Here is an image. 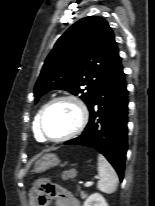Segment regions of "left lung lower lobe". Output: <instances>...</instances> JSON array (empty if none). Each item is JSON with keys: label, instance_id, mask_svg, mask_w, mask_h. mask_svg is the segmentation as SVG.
Listing matches in <instances>:
<instances>
[{"label": "left lung lower lobe", "instance_id": "1", "mask_svg": "<svg viewBox=\"0 0 155 206\" xmlns=\"http://www.w3.org/2000/svg\"><path fill=\"white\" fill-rule=\"evenodd\" d=\"M125 74L120 63L105 79L91 101L89 122L82 135L65 144L96 149L112 164L123 180L127 151L128 99Z\"/></svg>", "mask_w": 155, "mask_h": 206}]
</instances>
